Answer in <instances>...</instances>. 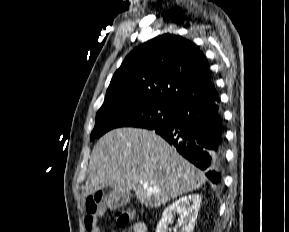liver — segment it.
I'll use <instances>...</instances> for the list:
<instances>
[{
  "label": "liver",
  "mask_w": 289,
  "mask_h": 232,
  "mask_svg": "<svg viewBox=\"0 0 289 232\" xmlns=\"http://www.w3.org/2000/svg\"><path fill=\"white\" fill-rule=\"evenodd\" d=\"M205 181L201 171L154 131L118 128L94 146L85 196L109 186L121 192L133 190L142 205L157 208L199 189Z\"/></svg>",
  "instance_id": "obj_1"
}]
</instances>
